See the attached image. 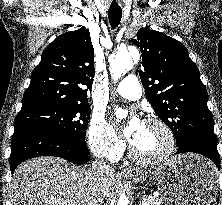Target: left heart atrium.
<instances>
[{"instance_id": "1", "label": "left heart atrium", "mask_w": 222, "mask_h": 205, "mask_svg": "<svg viewBox=\"0 0 222 205\" xmlns=\"http://www.w3.org/2000/svg\"><path fill=\"white\" fill-rule=\"evenodd\" d=\"M141 126H142L141 120L137 116H134L127 125V127L124 129V136L127 138L129 142L131 143L134 142Z\"/></svg>"}]
</instances>
